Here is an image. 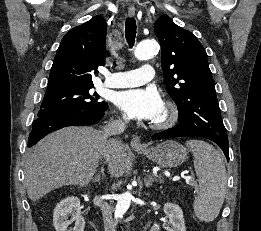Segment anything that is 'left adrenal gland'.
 Returning a JSON list of instances; mask_svg holds the SVG:
<instances>
[{
    "instance_id": "obj_1",
    "label": "left adrenal gland",
    "mask_w": 261,
    "mask_h": 231,
    "mask_svg": "<svg viewBox=\"0 0 261 231\" xmlns=\"http://www.w3.org/2000/svg\"><path fill=\"white\" fill-rule=\"evenodd\" d=\"M144 182H145V186H146L147 188H149L150 186L153 185L154 182H160V183H161L162 181H161L160 179H157V178L153 177V176L149 173V174H147V176L145 177Z\"/></svg>"
}]
</instances>
